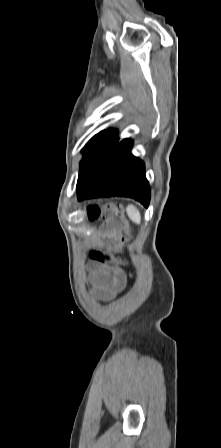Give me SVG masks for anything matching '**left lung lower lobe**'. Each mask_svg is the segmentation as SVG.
I'll use <instances>...</instances> for the list:
<instances>
[{"label": "left lung lower lobe", "mask_w": 221, "mask_h": 448, "mask_svg": "<svg viewBox=\"0 0 221 448\" xmlns=\"http://www.w3.org/2000/svg\"><path fill=\"white\" fill-rule=\"evenodd\" d=\"M132 140H126L106 152L96 163L79 172L78 200L102 196L134 198L145 207L150 201V187L144 163L131 154Z\"/></svg>", "instance_id": "left-lung-lower-lobe-1"}]
</instances>
